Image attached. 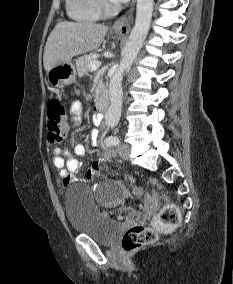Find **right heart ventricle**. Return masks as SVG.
Returning a JSON list of instances; mask_svg holds the SVG:
<instances>
[{
	"label": "right heart ventricle",
	"instance_id": "obj_1",
	"mask_svg": "<svg viewBox=\"0 0 233 284\" xmlns=\"http://www.w3.org/2000/svg\"><path fill=\"white\" fill-rule=\"evenodd\" d=\"M66 11L71 19L79 22H95L102 15L98 0H66Z\"/></svg>",
	"mask_w": 233,
	"mask_h": 284
}]
</instances>
